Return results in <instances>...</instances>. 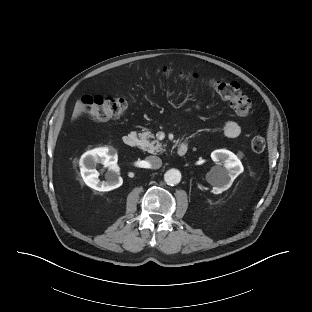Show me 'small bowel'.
Here are the masks:
<instances>
[{
    "instance_id": "obj_1",
    "label": "small bowel",
    "mask_w": 312,
    "mask_h": 312,
    "mask_svg": "<svg viewBox=\"0 0 312 312\" xmlns=\"http://www.w3.org/2000/svg\"><path fill=\"white\" fill-rule=\"evenodd\" d=\"M196 107H198V105H196ZM190 110L191 108H188L186 111ZM223 134L228 138H236L241 134V127L237 122L228 120L223 125Z\"/></svg>"
}]
</instances>
